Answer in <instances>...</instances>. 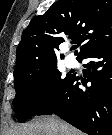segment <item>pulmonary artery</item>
Returning a JSON list of instances; mask_svg holds the SVG:
<instances>
[{
    "instance_id": "obj_1",
    "label": "pulmonary artery",
    "mask_w": 112,
    "mask_h": 135,
    "mask_svg": "<svg viewBox=\"0 0 112 135\" xmlns=\"http://www.w3.org/2000/svg\"><path fill=\"white\" fill-rule=\"evenodd\" d=\"M65 62L68 67H73L75 65V60L73 58H66Z\"/></svg>"
}]
</instances>
